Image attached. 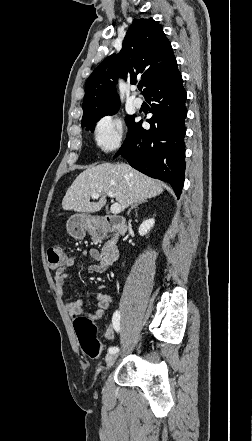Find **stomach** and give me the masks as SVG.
Instances as JSON below:
<instances>
[{"mask_svg": "<svg viewBox=\"0 0 252 441\" xmlns=\"http://www.w3.org/2000/svg\"><path fill=\"white\" fill-rule=\"evenodd\" d=\"M95 230V220L93 217L77 213L72 215L67 221V231L75 239H83L86 232L93 233Z\"/></svg>", "mask_w": 252, "mask_h": 441, "instance_id": "obj_1", "label": "stomach"}]
</instances>
